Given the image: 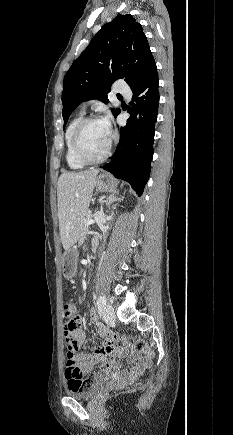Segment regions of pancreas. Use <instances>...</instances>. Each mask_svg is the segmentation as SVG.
<instances>
[{
  "instance_id": "obj_1",
  "label": "pancreas",
  "mask_w": 233,
  "mask_h": 435,
  "mask_svg": "<svg viewBox=\"0 0 233 435\" xmlns=\"http://www.w3.org/2000/svg\"><path fill=\"white\" fill-rule=\"evenodd\" d=\"M92 218V214H86L85 217L83 218L82 221V227H81V233H80V238L84 239L86 234L89 232V227L85 225L86 221L88 219Z\"/></svg>"
}]
</instances>
